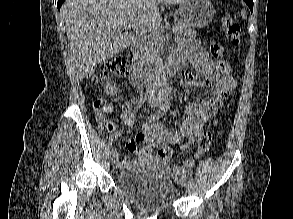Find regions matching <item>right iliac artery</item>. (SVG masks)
Returning <instances> with one entry per match:
<instances>
[{
	"label": "right iliac artery",
	"mask_w": 293,
	"mask_h": 219,
	"mask_svg": "<svg viewBox=\"0 0 293 219\" xmlns=\"http://www.w3.org/2000/svg\"><path fill=\"white\" fill-rule=\"evenodd\" d=\"M163 101H164V103H163L162 107L158 111L154 112L151 115V117L149 119L150 122L158 120L160 117H162L163 115H165L167 113V111L169 110V108L171 106V101H170V97H169L168 92H165L163 94ZM115 152H116V149L113 148L111 150V153L113 154Z\"/></svg>",
	"instance_id": "1"
}]
</instances>
